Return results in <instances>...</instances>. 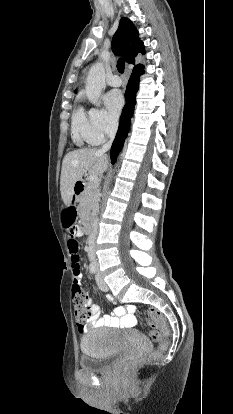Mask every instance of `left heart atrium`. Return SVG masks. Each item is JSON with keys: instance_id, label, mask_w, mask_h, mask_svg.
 <instances>
[{"instance_id": "left-heart-atrium-1", "label": "left heart atrium", "mask_w": 233, "mask_h": 414, "mask_svg": "<svg viewBox=\"0 0 233 414\" xmlns=\"http://www.w3.org/2000/svg\"><path fill=\"white\" fill-rule=\"evenodd\" d=\"M105 104L113 116H118L124 106V97L119 90H111L105 96Z\"/></svg>"}]
</instances>
